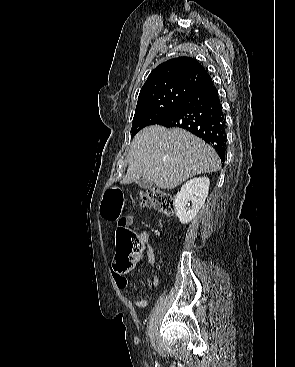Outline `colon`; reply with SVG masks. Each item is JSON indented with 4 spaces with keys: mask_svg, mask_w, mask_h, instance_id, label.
Instances as JSON below:
<instances>
[{
    "mask_svg": "<svg viewBox=\"0 0 295 367\" xmlns=\"http://www.w3.org/2000/svg\"><path fill=\"white\" fill-rule=\"evenodd\" d=\"M125 205V197L118 186L110 187L104 197L103 217L110 221L121 220ZM141 205L153 207L156 210L171 215L174 212V201L171 195L158 189L150 188L141 194ZM116 261L115 267L121 272H127L133 265L135 258L142 252L144 245L138 236L124 226L116 230Z\"/></svg>",
    "mask_w": 295,
    "mask_h": 367,
    "instance_id": "1",
    "label": "colon"
}]
</instances>
